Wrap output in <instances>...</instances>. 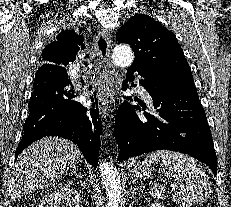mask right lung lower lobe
Returning a JSON list of instances; mask_svg holds the SVG:
<instances>
[{"label":"right lung lower lobe","mask_w":231,"mask_h":207,"mask_svg":"<svg viewBox=\"0 0 231 207\" xmlns=\"http://www.w3.org/2000/svg\"><path fill=\"white\" fill-rule=\"evenodd\" d=\"M61 35L83 39L73 30ZM67 71L60 66H41L35 76L33 93L29 101V116L24 123L23 137L18 144L15 158L32 142L46 136H59L78 145L86 160L97 167L102 122L97 100L91 107L73 101L75 91Z\"/></svg>","instance_id":"right-lung-lower-lobe-1"}]
</instances>
